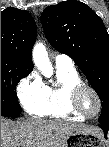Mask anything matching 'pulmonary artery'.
Masks as SVG:
<instances>
[{"label": "pulmonary artery", "mask_w": 109, "mask_h": 147, "mask_svg": "<svg viewBox=\"0 0 109 147\" xmlns=\"http://www.w3.org/2000/svg\"><path fill=\"white\" fill-rule=\"evenodd\" d=\"M55 65L61 68H74L73 60L65 54H58L55 57Z\"/></svg>", "instance_id": "e3ab8cb5"}]
</instances>
